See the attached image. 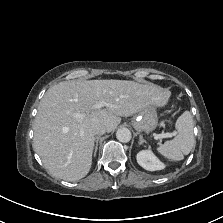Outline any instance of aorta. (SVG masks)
Here are the masks:
<instances>
[{
	"label": "aorta",
	"mask_w": 223,
	"mask_h": 223,
	"mask_svg": "<svg viewBox=\"0 0 223 223\" xmlns=\"http://www.w3.org/2000/svg\"><path fill=\"white\" fill-rule=\"evenodd\" d=\"M131 137V131L128 128H120L116 132V138L122 143L129 142Z\"/></svg>",
	"instance_id": "1"
}]
</instances>
